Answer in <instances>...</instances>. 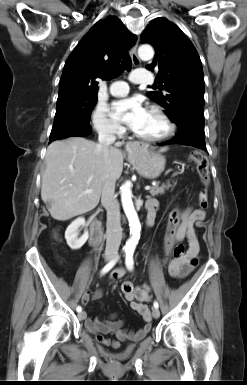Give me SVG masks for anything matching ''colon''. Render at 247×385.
Masks as SVG:
<instances>
[{"instance_id": "colon-1", "label": "colon", "mask_w": 247, "mask_h": 385, "mask_svg": "<svg viewBox=\"0 0 247 385\" xmlns=\"http://www.w3.org/2000/svg\"><path fill=\"white\" fill-rule=\"evenodd\" d=\"M191 160L196 163L197 171L200 176L202 188L199 192V203L202 209L208 207V186L210 182L209 163L207 157L202 153H192ZM185 249L182 244H177L172 252L174 260H180L184 257ZM123 293H130L132 291L131 286L128 284L122 285Z\"/></svg>"}]
</instances>
